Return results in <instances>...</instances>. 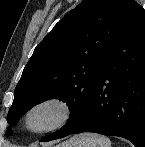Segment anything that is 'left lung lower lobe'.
I'll list each match as a JSON object with an SVG mask.
<instances>
[{"instance_id": "obj_1", "label": "left lung lower lobe", "mask_w": 145, "mask_h": 147, "mask_svg": "<svg viewBox=\"0 0 145 147\" xmlns=\"http://www.w3.org/2000/svg\"><path fill=\"white\" fill-rule=\"evenodd\" d=\"M82 132L120 136L145 147V11L134 0L82 120L77 127L41 141Z\"/></svg>"}]
</instances>
